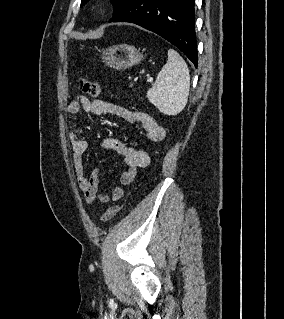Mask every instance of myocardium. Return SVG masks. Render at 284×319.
<instances>
[{"mask_svg": "<svg viewBox=\"0 0 284 319\" xmlns=\"http://www.w3.org/2000/svg\"><path fill=\"white\" fill-rule=\"evenodd\" d=\"M100 7L98 6V5H96L95 7H94V10H98Z\"/></svg>", "mask_w": 284, "mask_h": 319, "instance_id": "f54148a6", "label": "myocardium"}]
</instances>
